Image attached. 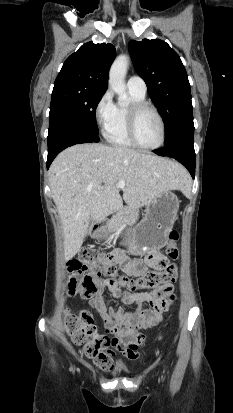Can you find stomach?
Here are the masks:
<instances>
[{
  "mask_svg": "<svg viewBox=\"0 0 233 413\" xmlns=\"http://www.w3.org/2000/svg\"><path fill=\"white\" fill-rule=\"evenodd\" d=\"M179 209L177 196L165 191L156 196L146 205L145 216L134 229L126 230L132 242L130 253L142 255L149 249L163 248L169 239ZM111 231L107 227H100L93 236L98 240H107Z\"/></svg>",
  "mask_w": 233,
  "mask_h": 413,
  "instance_id": "0dacf381",
  "label": "stomach"
}]
</instances>
